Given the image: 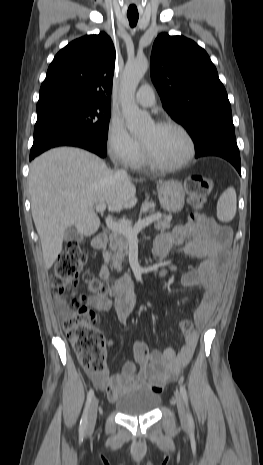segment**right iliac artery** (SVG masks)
<instances>
[{
	"mask_svg": "<svg viewBox=\"0 0 263 465\" xmlns=\"http://www.w3.org/2000/svg\"><path fill=\"white\" fill-rule=\"evenodd\" d=\"M93 396H94V391L91 389V390H89V392L87 394V400H86L85 408H84V411H83L82 418L80 420L79 433L81 435L84 434L86 426H87L88 413H89V408H90V404H91Z\"/></svg>",
	"mask_w": 263,
	"mask_h": 465,
	"instance_id": "right-iliac-artery-1",
	"label": "right iliac artery"
}]
</instances>
